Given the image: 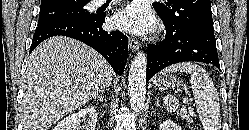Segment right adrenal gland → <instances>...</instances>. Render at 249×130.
<instances>
[{"label":"right adrenal gland","mask_w":249,"mask_h":130,"mask_svg":"<svg viewBox=\"0 0 249 130\" xmlns=\"http://www.w3.org/2000/svg\"><path fill=\"white\" fill-rule=\"evenodd\" d=\"M105 92H107V89L103 90L102 93H101V95L97 96L96 98H99V100L101 102H103L104 101V94H105Z\"/></svg>","instance_id":"1"}]
</instances>
